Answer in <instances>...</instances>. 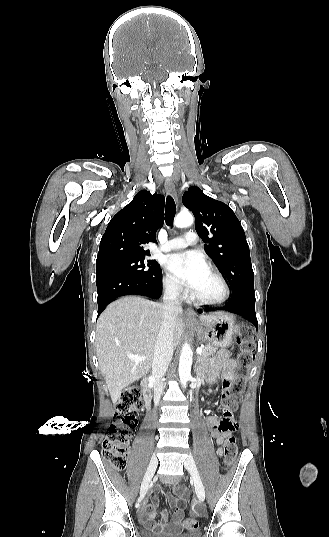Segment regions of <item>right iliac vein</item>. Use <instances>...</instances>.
<instances>
[{
    "instance_id": "right-iliac-vein-1",
    "label": "right iliac vein",
    "mask_w": 329,
    "mask_h": 537,
    "mask_svg": "<svg viewBox=\"0 0 329 537\" xmlns=\"http://www.w3.org/2000/svg\"><path fill=\"white\" fill-rule=\"evenodd\" d=\"M158 465L157 458L153 456L150 460V463L148 465V468L146 470V473L144 475L143 481L141 483L140 488V497L143 498L148 490L149 484L151 482L152 477L154 476V473L156 471Z\"/></svg>"
}]
</instances>
